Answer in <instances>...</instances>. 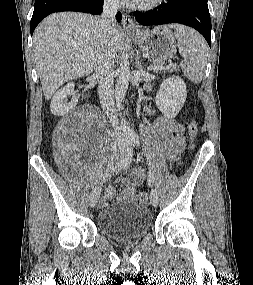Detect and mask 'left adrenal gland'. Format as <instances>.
Segmentation results:
<instances>
[{"label": "left adrenal gland", "instance_id": "left-adrenal-gland-1", "mask_svg": "<svg viewBox=\"0 0 253 285\" xmlns=\"http://www.w3.org/2000/svg\"><path fill=\"white\" fill-rule=\"evenodd\" d=\"M136 67L139 69V70H143V66H142V63L140 61V56L137 57L136 59Z\"/></svg>", "mask_w": 253, "mask_h": 285}]
</instances>
